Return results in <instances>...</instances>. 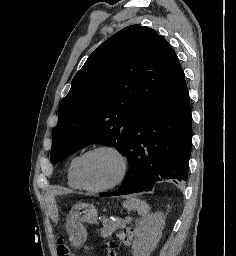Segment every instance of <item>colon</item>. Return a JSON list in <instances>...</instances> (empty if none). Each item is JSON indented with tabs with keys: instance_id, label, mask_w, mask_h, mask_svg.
Segmentation results:
<instances>
[{
	"instance_id": "colon-1",
	"label": "colon",
	"mask_w": 236,
	"mask_h": 256,
	"mask_svg": "<svg viewBox=\"0 0 236 256\" xmlns=\"http://www.w3.org/2000/svg\"><path fill=\"white\" fill-rule=\"evenodd\" d=\"M106 244L108 246V251L106 252V256H115V241L114 239L106 240ZM57 256H70V251L68 247L64 244L63 239L59 238L57 241Z\"/></svg>"
}]
</instances>
